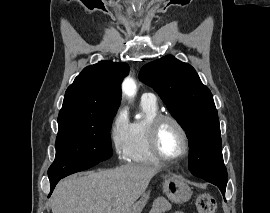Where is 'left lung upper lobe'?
Returning <instances> with one entry per match:
<instances>
[{"label":"left lung upper lobe","instance_id":"left-lung-upper-lobe-1","mask_svg":"<svg viewBox=\"0 0 270 213\" xmlns=\"http://www.w3.org/2000/svg\"><path fill=\"white\" fill-rule=\"evenodd\" d=\"M139 79L159 94L171 115L189 134V162L200 177L226 187L218 113L213 96L194 68L171 55L141 68Z\"/></svg>","mask_w":270,"mask_h":213}]
</instances>
